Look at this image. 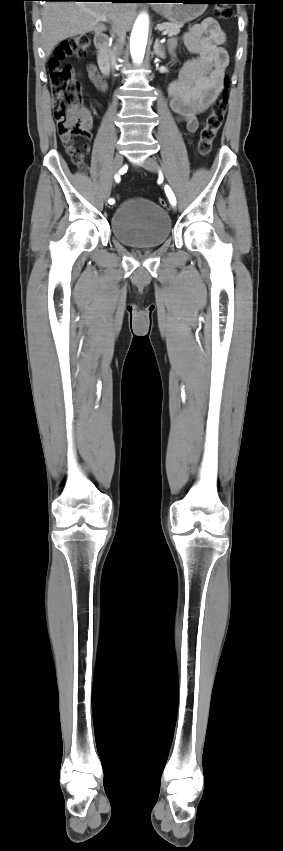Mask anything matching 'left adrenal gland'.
Segmentation results:
<instances>
[{
	"label": "left adrenal gland",
	"mask_w": 283,
	"mask_h": 851,
	"mask_svg": "<svg viewBox=\"0 0 283 851\" xmlns=\"http://www.w3.org/2000/svg\"><path fill=\"white\" fill-rule=\"evenodd\" d=\"M153 52L155 53V55H156L157 57H160L161 59H165V57H166V55H165V46H164V45H162V44H160V42H159V40H158V39H156V40H155L154 47H153Z\"/></svg>",
	"instance_id": "obj_1"
}]
</instances>
